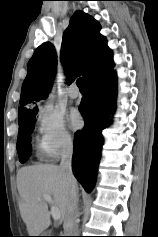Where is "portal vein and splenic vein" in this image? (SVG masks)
Listing matches in <instances>:
<instances>
[{
    "instance_id": "portal-vein-and-splenic-vein-1",
    "label": "portal vein and splenic vein",
    "mask_w": 158,
    "mask_h": 237,
    "mask_svg": "<svg viewBox=\"0 0 158 237\" xmlns=\"http://www.w3.org/2000/svg\"><path fill=\"white\" fill-rule=\"evenodd\" d=\"M44 200H46V202H48L49 204H51V215H52V218L54 220H59L61 218V214H60V211L58 208H56L54 205H53V200H52V197L50 195H44L43 196Z\"/></svg>"
}]
</instances>
